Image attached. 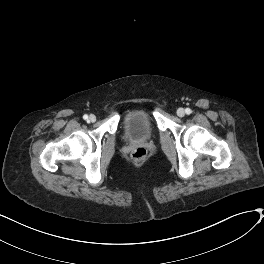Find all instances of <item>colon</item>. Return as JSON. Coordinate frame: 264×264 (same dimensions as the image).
Wrapping results in <instances>:
<instances>
[{"instance_id": "obj_1", "label": "colon", "mask_w": 264, "mask_h": 264, "mask_svg": "<svg viewBox=\"0 0 264 264\" xmlns=\"http://www.w3.org/2000/svg\"><path fill=\"white\" fill-rule=\"evenodd\" d=\"M146 155H147L146 149L144 147H138L136 148L132 156L135 161L140 162L146 158Z\"/></svg>"}]
</instances>
